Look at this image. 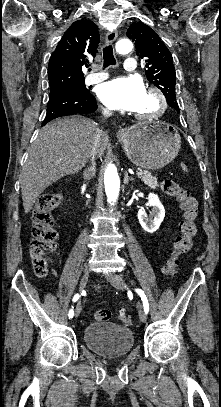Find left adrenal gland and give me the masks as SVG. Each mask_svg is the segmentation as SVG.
Masks as SVG:
<instances>
[{
    "label": "left adrenal gland",
    "instance_id": "obj_1",
    "mask_svg": "<svg viewBox=\"0 0 221 407\" xmlns=\"http://www.w3.org/2000/svg\"><path fill=\"white\" fill-rule=\"evenodd\" d=\"M129 181H134V178L130 177L128 175V172L126 171L124 174V184L127 185L129 183Z\"/></svg>",
    "mask_w": 221,
    "mask_h": 407
}]
</instances>
